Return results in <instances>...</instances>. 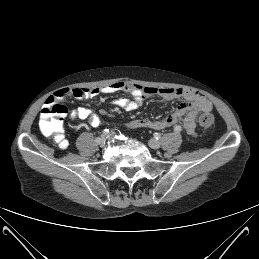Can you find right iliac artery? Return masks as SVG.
<instances>
[{
  "label": "right iliac artery",
  "instance_id": "right-iliac-artery-1",
  "mask_svg": "<svg viewBox=\"0 0 259 259\" xmlns=\"http://www.w3.org/2000/svg\"><path fill=\"white\" fill-rule=\"evenodd\" d=\"M93 141H95V142H97V141H99L100 140V137L99 136H97V135H95V136H93Z\"/></svg>",
  "mask_w": 259,
  "mask_h": 259
}]
</instances>
